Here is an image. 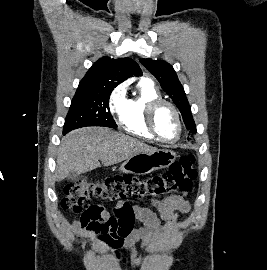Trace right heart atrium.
I'll use <instances>...</instances> for the list:
<instances>
[{
	"instance_id": "d8ad5b80",
	"label": "right heart atrium",
	"mask_w": 267,
	"mask_h": 270,
	"mask_svg": "<svg viewBox=\"0 0 267 270\" xmlns=\"http://www.w3.org/2000/svg\"><path fill=\"white\" fill-rule=\"evenodd\" d=\"M126 84L121 83L117 85L110 93L108 100L109 111L113 116L122 114L126 104Z\"/></svg>"
}]
</instances>
